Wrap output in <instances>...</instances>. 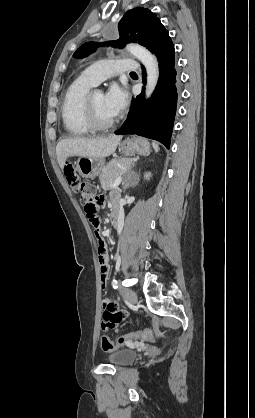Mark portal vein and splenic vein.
<instances>
[{
  "label": "portal vein and splenic vein",
  "instance_id": "18ae733b",
  "mask_svg": "<svg viewBox=\"0 0 255 418\" xmlns=\"http://www.w3.org/2000/svg\"><path fill=\"white\" fill-rule=\"evenodd\" d=\"M124 170H125V168H124ZM121 181H122V175H120V176H119V177L115 180V182L113 183V185L111 186V188H117V187L120 185Z\"/></svg>",
  "mask_w": 255,
  "mask_h": 418
}]
</instances>
